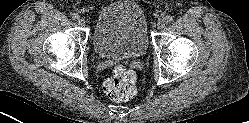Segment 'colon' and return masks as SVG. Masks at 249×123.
Returning a JSON list of instances; mask_svg holds the SVG:
<instances>
[{"label":"colon","mask_w":249,"mask_h":123,"mask_svg":"<svg viewBox=\"0 0 249 123\" xmlns=\"http://www.w3.org/2000/svg\"><path fill=\"white\" fill-rule=\"evenodd\" d=\"M136 74L123 65L114 68L111 76L103 82L105 95L114 101L124 102L136 95Z\"/></svg>","instance_id":"5ec220e1"}]
</instances>
